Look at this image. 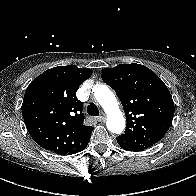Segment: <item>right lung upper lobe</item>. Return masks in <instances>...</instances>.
Returning <instances> with one entry per match:
<instances>
[{"instance_id":"obj_1","label":"right lung upper lobe","mask_w":196,"mask_h":196,"mask_svg":"<svg viewBox=\"0 0 196 196\" xmlns=\"http://www.w3.org/2000/svg\"><path fill=\"white\" fill-rule=\"evenodd\" d=\"M91 74V69L75 65L58 66L29 84L22 115L29 134L42 148L69 155L89 142L93 128L83 124V106L76 91Z\"/></svg>"}]
</instances>
